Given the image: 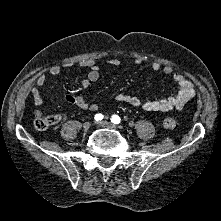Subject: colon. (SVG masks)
Returning <instances> with one entry per match:
<instances>
[{
    "instance_id": "1",
    "label": "colon",
    "mask_w": 221,
    "mask_h": 221,
    "mask_svg": "<svg viewBox=\"0 0 221 221\" xmlns=\"http://www.w3.org/2000/svg\"><path fill=\"white\" fill-rule=\"evenodd\" d=\"M58 120L55 115L39 116L35 120V128L38 130H45L51 125L57 123ZM163 126L166 129H175L177 127V121L174 117H166L163 121Z\"/></svg>"
}]
</instances>
